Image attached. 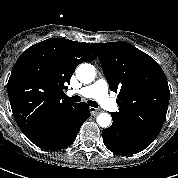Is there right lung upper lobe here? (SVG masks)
Masks as SVG:
<instances>
[{
	"label": "right lung upper lobe",
	"mask_w": 178,
	"mask_h": 178,
	"mask_svg": "<svg viewBox=\"0 0 178 178\" xmlns=\"http://www.w3.org/2000/svg\"><path fill=\"white\" fill-rule=\"evenodd\" d=\"M96 58L92 46L50 38L25 50L16 61L7 91L14 118L24 135L70 118L77 103L63 100L76 67Z\"/></svg>",
	"instance_id": "obj_1"
}]
</instances>
